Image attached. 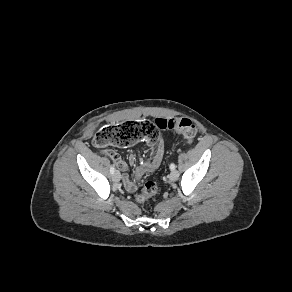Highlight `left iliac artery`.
Segmentation results:
<instances>
[{
	"label": "left iliac artery",
	"mask_w": 292,
	"mask_h": 292,
	"mask_svg": "<svg viewBox=\"0 0 292 292\" xmlns=\"http://www.w3.org/2000/svg\"><path fill=\"white\" fill-rule=\"evenodd\" d=\"M175 168H176L175 164H174V163H171V164H170V169H171V170H174Z\"/></svg>",
	"instance_id": "1"
}]
</instances>
